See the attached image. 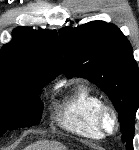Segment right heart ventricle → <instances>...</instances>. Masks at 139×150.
I'll return each mask as SVG.
<instances>
[{"label": "right heart ventricle", "mask_w": 139, "mask_h": 150, "mask_svg": "<svg viewBox=\"0 0 139 150\" xmlns=\"http://www.w3.org/2000/svg\"><path fill=\"white\" fill-rule=\"evenodd\" d=\"M102 99L88 87L78 86L64 101L58 123L66 130L91 139H101L103 134L96 123Z\"/></svg>", "instance_id": "e07e8e85"}]
</instances>
